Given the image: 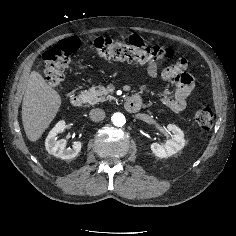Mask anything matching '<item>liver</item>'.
Masks as SVG:
<instances>
[{"label":"liver","instance_id":"1","mask_svg":"<svg viewBox=\"0 0 236 236\" xmlns=\"http://www.w3.org/2000/svg\"><path fill=\"white\" fill-rule=\"evenodd\" d=\"M61 106L58 92L43 76L32 71L22 102V123L28 139L37 141L56 117Z\"/></svg>","mask_w":236,"mask_h":236}]
</instances>
